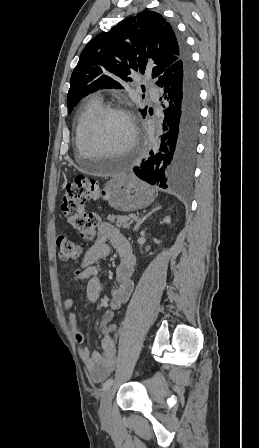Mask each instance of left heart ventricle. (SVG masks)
I'll use <instances>...</instances> for the list:
<instances>
[{"label": "left heart ventricle", "instance_id": "b2bd125f", "mask_svg": "<svg viewBox=\"0 0 259 448\" xmlns=\"http://www.w3.org/2000/svg\"><path fill=\"white\" fill-rule=\"evenodd\" d=\"M131 139V127L120 115L111 114L104 117L92 134V144L95 149L83 150V163L94 160H104L117 156Z\"/></svg>", "mask_w": 259, "mask_h": 448}]
</instances>
